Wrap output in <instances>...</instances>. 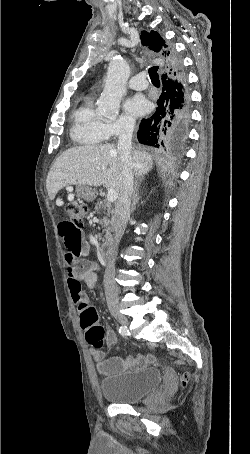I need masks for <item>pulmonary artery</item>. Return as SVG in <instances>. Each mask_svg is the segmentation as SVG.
Masks as SVG:
<instances>
[{
	"mask_svg": "<svg viewBox=\"0 0 250 454\" xmlns=\"http://www.w3.org/2000/svg\"><path fill=\"white\" fill-rule=\"evenodd\" d=\"M128 86L133 90H144L148 87V81L143 74H139L130 79Z\"/></svg>",
	"mask_w": 250,
	"mask_h": 454,
	"instance_id": "pulmonary-artery-1",
	"label": "pulmonary artery"
}]
</instances>
